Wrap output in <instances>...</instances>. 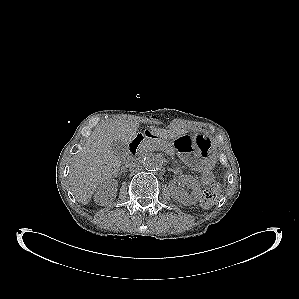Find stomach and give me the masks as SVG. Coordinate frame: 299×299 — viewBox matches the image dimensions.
I'll list each match as a JSON object with an SVG mask.
<instances>
[{
    "label": "stomach",
    "mask_w": 299,
    "mask_h": 299,
    "mask_svg": "<svg viewBox=\"0 0 299 299\" xmlns=\"http://www.w3.org/2000/svg\"><path fill=\"white\" fill-rule=\"evenodd\" d=\"M174 150L180 159L194 169H207L220 159V147L205 135H183L174 142Z\"/></svg>",
    "instance_id": "0dacf381"
}]
</instances>
